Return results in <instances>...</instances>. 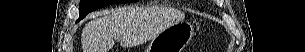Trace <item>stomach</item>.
Masks as SVG:
<instances>
[{"instance_id":"obj_1","label":"stomach","mask_w":305,"mask_h":52,"mask_svg":"<svg viewBox=\"0 0 305 52\" xmlns=\"http://www.w3.org/2000/svg\"><path fill=\"white\" fill-rule=\"evenodd\" d=\"M194 35L189 22L175 23L151 39L145 52H183Z\"/></svg>"}]
</instances>
